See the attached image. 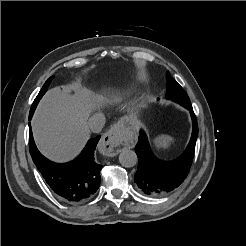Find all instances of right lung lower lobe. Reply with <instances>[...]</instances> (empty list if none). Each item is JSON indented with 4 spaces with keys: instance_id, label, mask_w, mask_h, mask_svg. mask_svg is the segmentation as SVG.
Returning <instances> with one entry per match:
<instances>
[{
    "instance_id": "1",
    "label": "right lung lower lobe",
    "mask_w": 246,
    "mask_h": 246,
    "mask_svg": "<svg viewBox=\"0 0 246 246\" xmlns=\"http://www.w3.org/2000/svg\"><path fill=\"white\" fill-rule=\"evenodd\" d=\"M33 112L29 114V120ZM100 135L88 141L82 153L65 164L49 161L37 149L29 122V150L32 160L52 191L66 203H81L90 198L100 185L102 165L94 160Z\"/></svg>"
}]
</instances>
